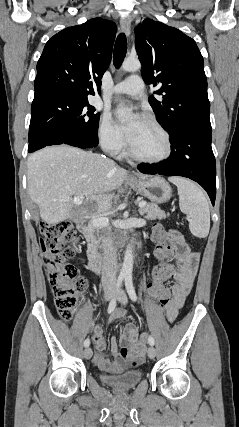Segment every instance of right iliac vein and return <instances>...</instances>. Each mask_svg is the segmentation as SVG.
Segmentation results:
<instances>
[{
	"mask_svg": "<svg viewBox=\"0 0 239 427\" xmlns=\"http://www.w3.org/2000/svg\"><path fill=\"white\" fill-rule=\"evenodd\" d=\"M112 296H113V291L105 292V300L106 301H109L112 298ZM84 357L86 359H90L92 357V349L91 348L88 347L84 350Z\"/></svg>",
	"mask_w": 239,
	"mask_h": 427,
	"instance_id": "obj_1",
	"label": "right iliac vein"
}]
</instances>
